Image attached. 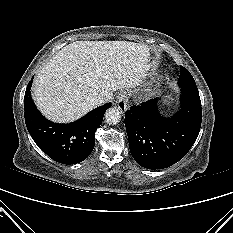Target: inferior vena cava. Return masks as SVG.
I'll use <instances>...</instances> for the list:
<instances>
[{
    "label": "inferior vena cava",
    "mask_w": 233,
    "mask_h": 233,
    "mask_svg": "<svg viewBox=\"0 0 233 233\" xmlns=\"http://www.w3.org/2000/svg\"><path fill=\"white\" fill-rule=\"evenodd\" d=\"M106 101V98L102 95H98L96 96L95 98H93V103L95 105H99V104H102Z\"/></svg>",
    "instance_id": "602c4592"
}]
</instances>
